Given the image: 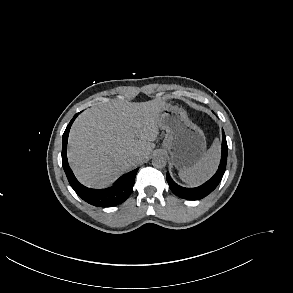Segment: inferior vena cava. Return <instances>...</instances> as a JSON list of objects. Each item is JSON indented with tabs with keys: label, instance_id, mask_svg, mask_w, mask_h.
<instances>
[{
	"label": "inferior vena cava",
	"instance_id": "obj_1",
	"mask_svg": "<svg viewBox=\"0 0 293 293\" xmlns=\"http://www.w3.org/2000/svg\"><path fill=\"white\" fill-rule=\"evenodd\" d=\"M130 161H131V162H137V161H138V156H132V157L130 158Z\"/></svg>",
	"mask_w": 293,
	"mask_h": 293
}]
</instances>
